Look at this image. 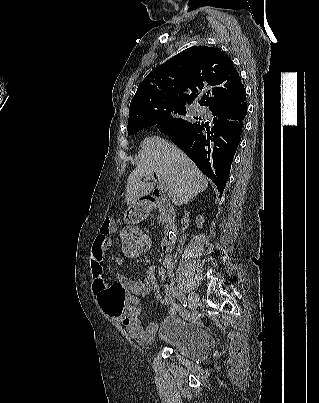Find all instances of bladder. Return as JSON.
<instances>
[{
  "mask_svg": "<svg viewBox=\"0 0 319 403\" xmlns=\"http://www.w3.org/2000/svg\"><path fill=\"white\" fill-rule=\"evenodd\" d=\"M156 343L198 362L206 358L209 349L206 330L194 324L183 323L177 314H171L160 322Z\"/></svg>",
  "mask_w": 319,
  "mask_h": 403,
  "instance_id": "31cf9c89",
  "label": "bladder"
}]
</instances>
